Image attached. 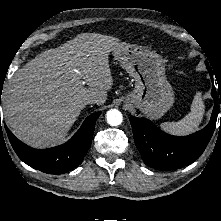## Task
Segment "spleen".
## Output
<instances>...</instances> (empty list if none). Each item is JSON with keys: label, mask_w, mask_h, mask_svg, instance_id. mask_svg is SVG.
<instances>
[{"label": "spleen", "mask_w": 221, "mask_h": 221, "mask_svg": "<svg viewBox=\"0 0 221 221\" xmlns=\"http://www.w3.org/2000/svg\"><path fill=\"white\" fill-rule=\"evenodd\" d=\"M205 112V106L201 97V93L197 92L191 105L190 112L177 122H164L161 128L173 135H188L198 129L202 122Z\"/></svg>", "instance_id": "1"}]
</instances>
